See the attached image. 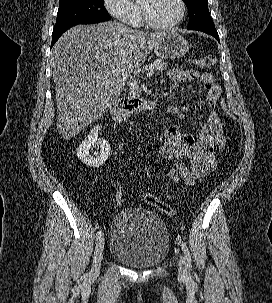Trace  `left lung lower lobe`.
Wrapping results in <instances>:
<instances>
[{
	"instance_id": "0a47b994",
	"label": "left lung lower lobe",
	"mask_w": 272,
	"mask_h": 303,
	"mask_svg": "<svg viewBox=\"0 0 272 303\" xmlns=\"http://www.w3.org/2000/svg\"><path fill=\"white\" fill-rule=\"evenodd\" d=\"M199 31L205 32L207 34H210V35H212L213 37H215L219 41V36H218V33H217V31H216L215 28H206V29H201Z\"/></svg>"
}]
</instances>
